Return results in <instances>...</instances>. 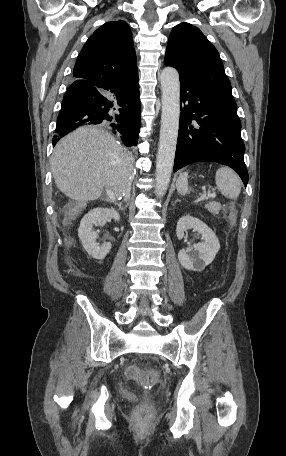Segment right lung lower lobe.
<instances>
[{"mask_svg":"<svg viewBox=\"0 0 286 456\" xmlns=\"http://www.w3.org/2000/svg\"><path fill=\"white\" fill-rule=\"evenodd\" d=\"M138 77L111 86L75 79L64 95L57 117L53 145L74 129L101 124L121 137L126 146L137 145L141 127Z\"/></svg>","mask_w":286,"mask_h":456,"instance_id":"98d812e1","label":"right lung lower lobe"}]
</instances>
